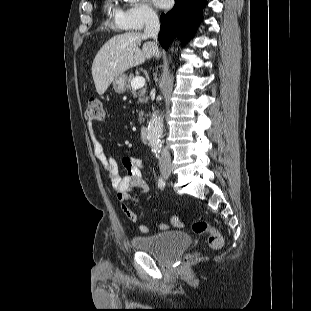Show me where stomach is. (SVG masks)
Listing matches in <instances>:
<instances>
[{
  "instance_id": "0dacf381",
  "label": "stomach",
  "mask_w": 311,
  "mask_h": 311,
  "mask_svg": "<svg viewBox=\"0 0 311 311\" xmlns=\"http://www.w3.org/2000/svg\"><path fill=\"white\" fill-rule=\"evenodd\" d=\"M113 88L117 93H124L127 86V76L122 74L112 82Z\"/></svg>"
}]
</instances>
